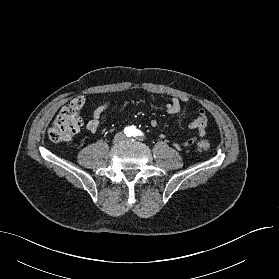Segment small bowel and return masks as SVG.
Returning <instances> with one entry per match:
<instances>
[{
	"label": "small bowel",
	"mask_w": 279,
	"mask_h": 279,
	"mask_svg": "<svg viewBox=\"0 0 279 279\" xmlns=\"http://www.w3.org/2000/svg\"><path fill=\"white\" fill-rule=\"evenodd\" d=\"M185 102H187V99L184 97L172 98L171 101L166 105V112L168 114L179 113L182 110L183 104ZM109 106L110 102H105L94 110L92 119L89 120L86 125L87 130H89L91 133H96L99 130L101 126V118ZM151 126L156 127L157 122L155 120L151 121ZM207 126V114L203 109H199L195 120L189 124V129L195 130L197 132V137H203L206 134ZM197 137L190 138L181 145L175 144V147L181 150L183 147L190 146L195 142Z\"/></svg>",
	"instance_id": "obj_1"
}]
</instances>
